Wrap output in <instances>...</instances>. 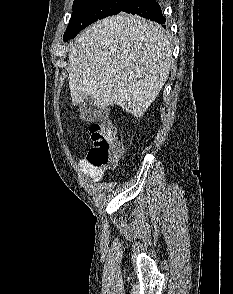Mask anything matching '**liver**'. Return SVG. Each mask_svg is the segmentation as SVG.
Masks as SVG:
<instances>
[{"label":"liver","mask_w":233,"mask_h":294,"mask_svg":"<svg viewBox=\"0 0 233 294\" xmlns=\"http://www.w3.org/2000/svg\"><path fill=\"white\" fill-rule=\"evenodd\" d=\"M68 57L72 105L91 97L98 108L118 105L135 117L157 97L174 62L161 26L123 12L80 33Z\"/></svg>","instance_id":"6515ba94"}]
</instances>
